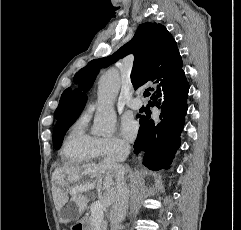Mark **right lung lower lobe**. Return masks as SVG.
Here are the masks:
<instances>
[{"mask_svg":"<svg viewBox=\"0 0 241 230\" xmlns=\"http://www.w3.org/2000/svg\"><path fill=\"white\" fill-rule=\"evenodd\" d=\"M151 99L160 109L158 118L140 116L134 149L145 151L143 164L151 170L167 169L180 146V134L187 113L189 84L182 66L153 89Z\"/></svg>","mask_w":241,"mask_h":230,"instance_id":"obj_1","label":"right lung lower lobe"}]
</instances>
